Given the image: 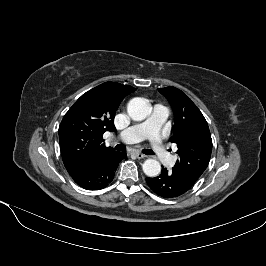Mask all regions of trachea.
<instances>
[{"label": "trachea", "instance_id": "obj_1", "mask_svg": "<svg viewBox=\"0 0 266 266\" xmlns=\"http://www.w3.org/2000/svg\"><path fill=\"white\" fill-rule=\"evenodd\" d=\"M115 149L118 150V151H125L126 150V147L122 144H118L115 146ZM149 155H152L153 152L151 150L148 151Z\"/></svg>", "mask_w": 266, "mask_h": 266}]
</instances>
